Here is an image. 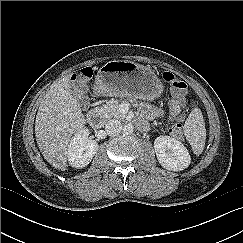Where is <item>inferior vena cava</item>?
<instances>
[{"label": "inferior vena cava", "mask_w": 243, "mask_h": 243, "mask_svg": "<svg viewBox=\"0 0 243 243\" xmlns=\"http://www.w3.org/2000/svg\"><path fill=\"white\" fill-rule=\"evenodd\" d=\"M122 125L118 119H111L105 125V131L108 135H117L121 132Z\"/></svg>", "instance_id": "1"}]
</instances>
